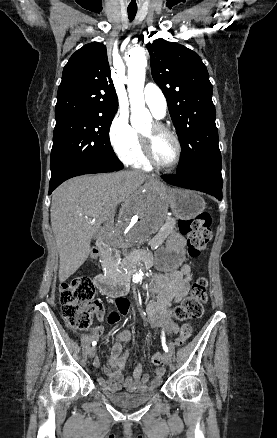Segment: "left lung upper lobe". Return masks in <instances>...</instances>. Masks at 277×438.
<instances>
[{
  "label": "left lung upper lobe",
  "mask_w": 277,
  "mask_h": 438,
  "mask_svg": "<svg viewBox=\"0 0 277 438\" xmlns=\"http://www.w3.org/2000/svg\"><path fill=\"white\" fill-rule=\"evenodd\" d=\"M147 48L152 77L167 99L183 150L178 174L221 168L212 84L201 58L162 38L148 43Z\"/></svg>",
  "instance_id": "5c2ea615"
}]
</instances>
